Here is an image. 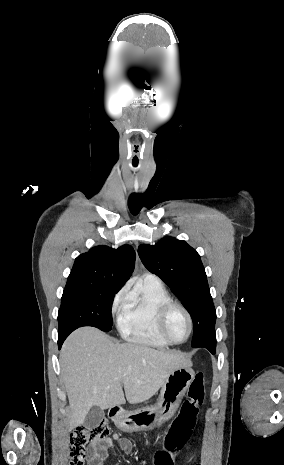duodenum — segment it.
<instances>
[{"label":"duodenum","mask_w":284,"mask_h":465,"mask_svg":"<svg viewBox=\"0 0 284 465\" xmlns=\"http://www.w3.org/2000/svg\"><path fill=\"white\" fill-rule=\"evenodd\" d=\"M127 414L125 410L120 407H113L109 410V417L114 420L117 425H120L122 419Z\"/></svg>","instance_id":"obj_1"}]
</instances>
